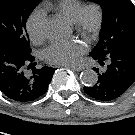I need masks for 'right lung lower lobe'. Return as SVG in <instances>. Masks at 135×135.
<instances>
[{
  "label": "right lung lower lobe",
  "mask_w": 135,
  "mask_h": 135,
  "mask_svg": "<svg viewBox=\"0 0 135 135\" xmlns=\"http://www.w3.org/2000/svg\"><path fill=\"white\" fill-rule=\"evenodd\" d=\"M35 57L23 54L13 45L0 41V91L17 102H31L44 95L54 68H35ZM32 68L29 75L26 69Z\"/></svg>",
  "instance_id": "98d812e1"
}]
</instances>
